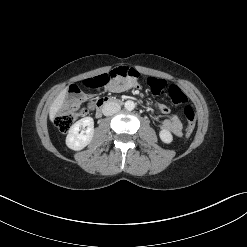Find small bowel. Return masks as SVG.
<instances>
[{
    "mask_svg": "<svg viewBox=\"0 0 247 247\" xmlns=\"http://www.w3.org/2000/svg\"><path fill=\"white\" fill-rule=\"evenodd\" d=\"M138 83L136 79L130 77H117L113 83H110L108 86V90L112 92H125L130 89L138 88ZM157 111L163 114L169 112V108L163 103H155ZM161 129L163 131L169 132L174 136H181L182 135V122L178 115L172 114L167 119H165L161 123Z\"/></svg>",
    "mask_w": 247,
    "mask_h": 247,
    "instance_id": "1",
    "label": "small bowel"
}]
</instances>
